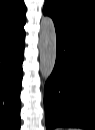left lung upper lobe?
<instances>
[{
  "mask_svg": "<svg viewBox=\"0 0 95 130\" xmlns=\"http://www.w3.org/2000/svg\"><path fill=\"white\" fill-rule=\"evenodd\" d=\"M43 13L54 24L70 22L95 33L94 0H45Z\"/></svg>",
  "mask_w": 95,
  "mask_h": 130,
  "instance_id": "5c2ea615",
  "label": "left lung upper lobe"
}]
</instances>
